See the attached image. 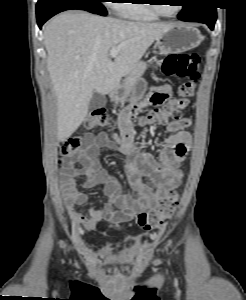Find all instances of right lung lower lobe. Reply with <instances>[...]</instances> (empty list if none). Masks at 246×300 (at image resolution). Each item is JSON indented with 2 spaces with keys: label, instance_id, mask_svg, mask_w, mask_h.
Listing matches in <instances>:
<instances>
[{
  "label": "right lung lower lobe",
  "instance_id": "obj_1",
  "mask_svg": "<svg viewBox=\"0 0 246 300\" xmlns=\"http://www.w3.org/2000/svg\"><path fill=\"white\" fill-rule=\"evenodd\" d=\"M71 9L85 10L84 7L79 4L64 2L56 3L46 7L44 10L37 11V23L39 28H42V25L55 14Z\"/></svg>",
  "mask_w": 246,
  "mask_h": 300
}]
</instances>
